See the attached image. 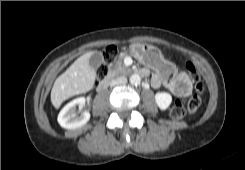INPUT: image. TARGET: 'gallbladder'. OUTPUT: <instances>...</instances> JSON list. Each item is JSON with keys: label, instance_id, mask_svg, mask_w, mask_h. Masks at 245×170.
I'll list each match as a JSON object with an SVG mask.
<instances>
[{"label": "gallbladder", "instance_id": "gallbladder-1", "mask_svg": "<svg viewBox=\"0 0 245 170\" xmlns=\"http://www.w3.org/2000/svg\"><path fill=\"white\" fill-rule=\"evenodd\" d=\"M104 62V58L101 52L94 51L89 58V65L93 69H97Z\"/></svg>", "mask_w": 245, "mask_h": 170}]
</instances>
